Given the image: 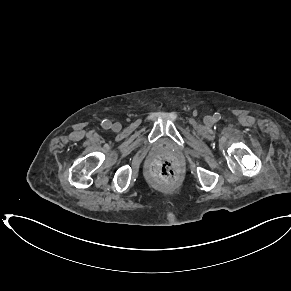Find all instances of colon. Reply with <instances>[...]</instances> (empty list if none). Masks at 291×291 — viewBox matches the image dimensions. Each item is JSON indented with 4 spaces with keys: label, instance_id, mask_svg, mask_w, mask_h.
I'll return each mask as SVG.
<instances>
[{
    "label": "colon",
    "instance_id": "5ec220e1",
    "mask_svg": "<svg viewBox=\"0 0 291 291\" xmlns=\"http://www.w3.org/2000/svg\"><path fill=\"white\" fill-rule=\"evenodd\" d=\"M155 179L160 184L172 183L177 175V166L170 158H162L153 166Z\"/></svg>",
    "mask_w": 291,
    "mask_h": 291
}]
</instances>
